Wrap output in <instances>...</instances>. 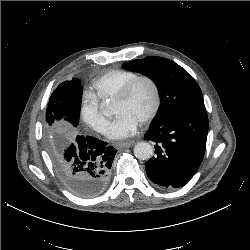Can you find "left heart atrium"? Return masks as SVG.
<instances>
[{
	"mask_svg": "<svg viewBox=\"0 0 250 250\" xmlns=\"http://www.w3.org/2000/svg\"><path fill=\"white\" fill-rule=\"evenodd\" d=\"M140 125V121L130 114L119 115L108 129V137L111 139H124L134 135Z\"/></svg>",
	"mask_w": 250,
	"mask_h": 250,
	"instance_id": "left-heart-atrium-1",
	"label": "left heart atrium"
}]
</instances>
